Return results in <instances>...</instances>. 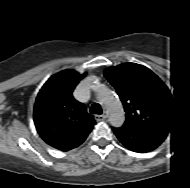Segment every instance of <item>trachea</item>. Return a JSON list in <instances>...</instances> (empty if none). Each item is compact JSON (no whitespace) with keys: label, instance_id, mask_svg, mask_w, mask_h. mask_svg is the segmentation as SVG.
I'll use <instances>...</instances> for the list:
<instances>
[{"label":"trachea","instance_id":"trachea-1","mask_svg":"<svg viewBox=\"0 0 190 188\" xmlns=\"http://www.w3.org/2000/svg\"><path fill=\"white\" fill-rule=\"evenodd\" d=\"M90 113L99 115L102 114L101 106L98 103L92 104V106L90 107Z\"/></svg>","mask_w":190,"mask_h":188}]
</instances>
